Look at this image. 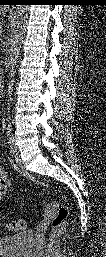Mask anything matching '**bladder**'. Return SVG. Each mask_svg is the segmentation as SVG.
Wrapping results in <instances>:
<instances>
[{
    "label": "bladder",
    "instance_id": "1",
    "mask_svg": "<svg viewBox=\"0 0 106 257\" xmlns=\"http://www.w3.org/2000/svg\"><path fill=\"white\" fill-rule=\"evenodd\" d=\"M33 241L34 233L31 230L1 237L0 255L2 257H26L32 249Z\"/></svg>",
    "mask_w": 106,
    "mask_h": 257
}]
</instances>
